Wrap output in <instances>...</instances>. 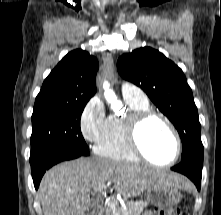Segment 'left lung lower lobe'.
Here are the masks:
<instances>
[{"label":"left lung lower lobe","mask_w":221,"mask_h":215,"mask_svg":"<svg viewBox=\"0 0 221 215\" xmlns=\"http://www.w3.org/2000/svg\"><path fill=\"white\" fill-rule=\"evenodd\" d=\"M202 166H203V159L191 157L187 158L184 161H181L178 165L172 167L171 169L173 171L186 175L194 182L197 189L200 190Z\"/></svg>","instance_id":"left-lung-lower-lobe-1"}]
</instances>
